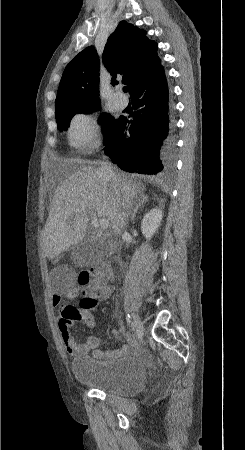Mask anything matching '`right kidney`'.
Masks as SVG:
<instances>
[{"mask_svg":"<svg viewBox=\"0 0 245 450\" xmlns=\"http://www.w3.org/2000/svg\"><path fill=\"white\" fill-rule=\"evenodd\" d=\"M162 216L163 214L160 209H153L144 216L141 223V230L147 239H150L160 226Z\"/></svg>","mask_w":245,"mask_h":450,"instance_id":"ca27d5eb","label":"right kidney"}]
</instances>
